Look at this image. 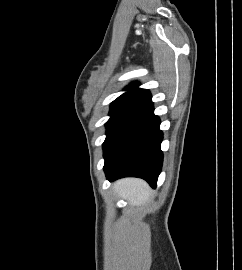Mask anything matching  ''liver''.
I'll list each match as a JSON object with an SVG mask.
<instances>
[{
	"mask_svg": "<svg viewBox=\"0 0 242 270\" xmlns=\"http://www.w3.org/2000/svg\"><path fill=\"white\" fill-rule=\"evenodd\" d=\"M114 189L121 197L129 200L131 205L145 203L151 194L146 182L136 178L121 179L115 183Z\"/></svg>",
	"mask_w": 242,
	"mask_h": 270,
	"instance_id": "6515ba94",
	"label": "liver"
}]
</instances>
